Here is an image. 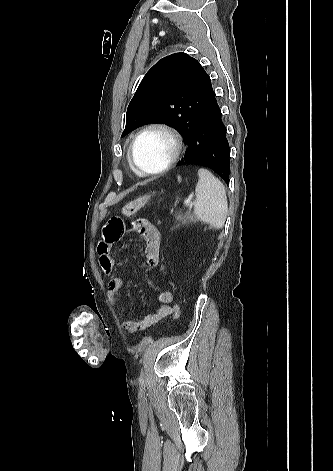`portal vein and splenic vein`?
I'll list each match as a JSON object with an SVG mask.
<instances>
[{
  "label": "portal vein and splenic vein",
  "instance_id": "obj_1",
  "mask_svg": "<svg viewBox=\"0 0 333 471\" xmlns=\"http://www.w3.org/2000/svg\"><path fill=\"white\" fill-rule=\"evenodd\" d=\"M184 205L188 206L189 208H192V206H193L192 195L189 198H187L186 200H184Z\"/></svg>",
  "mask_w": 333,
  "mask_h": 471
}]
</instances>
